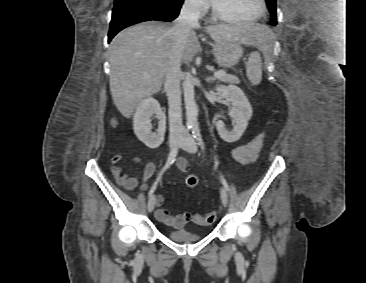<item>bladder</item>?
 Masks as SVG:
<instances>
[{
  "instance_id": "obj_1",
  "label": "bladder",
  "mask_w": 366,
  "mask_h": 283,
  "mask_svg": "<svg viewBox=\"0 0 366 283\" xmlns=\"http://www.w3.org/2000/svg\"><path fill=\"white\" fill-rule=\"evenodd\" d=\"M166 235L169 239L181 243L194 242L204 237L202 233L190 232L184 229L176 231H168L166 232Z\"/></svg>"
}]
</instances>
